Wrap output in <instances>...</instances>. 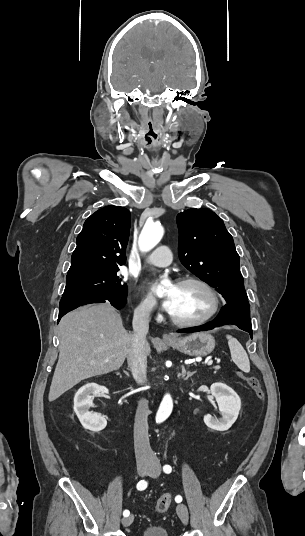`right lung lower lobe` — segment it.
Instances as JSON below:
<instances>
[{
	"instance_id": "right-lung-lower-lobe-1",
	"label": "right lung lower lobe",
	"mask_w": 305,
	"mask_h": 536,
	"mask_svg": "<svg viewBox=\"0 0 305 536\" xmlns=\"http://www.w3.org/2000/svg\"><path fill=\"white\" fill-rule=\"evenodd\" d=\"M106 301H109L111 305L114 306L115 308L120 309L126 304L127 299L126 298H104V297H97V296H90V295L63 296L60 301L58 321L66 313H68L69 311L73 309H76L77 307L81 305H86L90 303H103Z\"/></svg>"
}]
</instances>
